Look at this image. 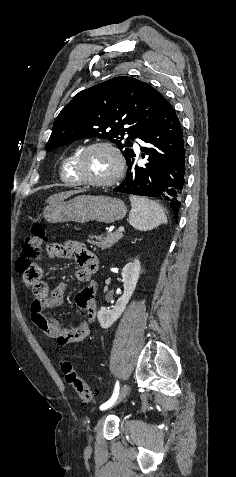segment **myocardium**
<instances>
[{
    "label": "myocardium",
    "instance_id": "1",
    "mask_svg": "<svg viewBox=\"0 0 236 477\" xmlns=\"http://www.w3.org/2000/svg\"><path fill=\"white\" fill-rule=\"evenodd\" d=\"M94 148H105L115 158L116 170L109 179L101 180V181L89 180L84 178L81 173V166H82L83 159L85 158L86 154ZM73 169H74L75 176L80 184H85V185L98 187V188H105V187H110L114 185L117 181L121 179V177L124 174L125 160L120 150L114 145H112L111 143L104 142V141H96L86 145L83 149H81V151L79 152V154L77 155L75 159Z\"/></svg>",
    "mask_w": 236,
    "mask_h": 477
}]
</instances>
